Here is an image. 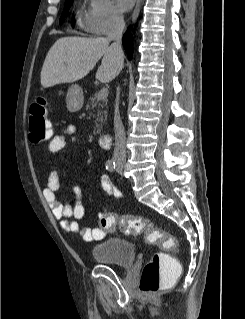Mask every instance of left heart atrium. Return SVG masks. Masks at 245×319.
I'll return each instance as SVG.
<instances>
[{
	"instance_id": "left-heart-atrium-1",
	"label": "left heart atrium",
	"mask_w": 245,
	"mask_h": 319,
	"mask_svg": "<svg viewBox=\"0 0 245 319\" xmlns=\"http://www.w3.org/2000/svg\"><path fill=\"white\" fill-rule=\"evenodd\" d=\"M135 0H116L117 6L121 11H128L132 8Z\"/></svg>"
}]
</instances>
